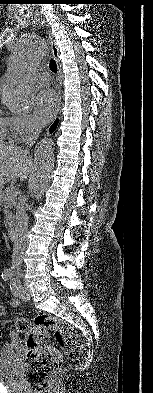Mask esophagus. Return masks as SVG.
I'll use <instances>...</instances> for the list:
<instances>
[{"label": "esophagus", "instance_id": "34e87169", "mask_svg": "<svg viewBox=\"0 0 153 393\" xmlns=\"http://www.w3.org/2000/svg\"><path fill=\"white\" fill-rule=\"evenodd\" d=\"M49 36H50L51 53H52V56L55 59L56 64H57V78H58L59 84H61L62 76H61V64H60V60H59V49H58L56 42L50 32H49Z\"/></svg>", "mask_w": 153, "mask_h": 393}]
</instances>
